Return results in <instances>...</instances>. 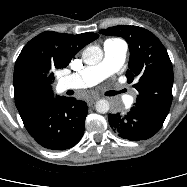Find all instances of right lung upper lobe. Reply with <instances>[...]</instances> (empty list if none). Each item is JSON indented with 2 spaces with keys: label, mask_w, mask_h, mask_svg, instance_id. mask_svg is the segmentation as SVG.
<instances>
[{
  "label": "right lung upper lobe",
  "mask_w": 187,
  "mask_h": 187,
  "mask_svg": "<svg viewBox=\"0 0 187 187\" xmlns=\"http://www.w3.org/2000/svg\"><path fill=\"white\" fill-rule=\"evenodd\" d=\"M98 38L96 33L78 35L46 31L30 40L14 68L15 104L21 118L58 98L54 96V71L66 67L75 54Z\"/></svg>",
  "instance_id": "obj_1"
}]
</instances>
